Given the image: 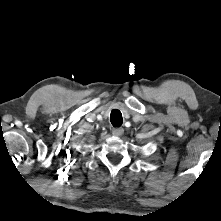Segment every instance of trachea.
I'll return each instance as SVG.
<instances>
[{
    "mask_svg": "<svg viewBox=\"0 0 221 221\" xmlns=\"http://www.w3.org/2000/svg\"><path fill=\"white\" fill-rule=\"evenodd\" d=\"M110 121L114 127H120L123 122L122 113L119 110H112L110 114Z\"/></svg>",
    "mask_w": 221,
    "mask_h": 221,
    "instance_id": "obj_1",
    "label": "trachea"
}]
</instances>
